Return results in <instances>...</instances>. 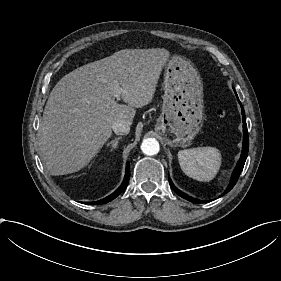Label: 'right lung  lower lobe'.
<instances>
[{"label":"right lung lower lobe","instance_id":"98d812e1","mask_svg":"<svg viewBox=\"0 0 281 281\" xmlns=\"http://www.w3.org/2000/svg\"><path fill=\"white\" fill-rule=\"evenodd\" d=\"M130 179V165L129 162H127L126 164V174H125V178L121 184V186L115 191L113 192L111 195H109L108 197L99 200V201H95V202H84L85 204H91V205H100V204H105L108 203L110 201H112L113 199H115L120 193H122L124 191V189L127 187L128 182Z\"/></svg>","mask_w":281,"mask_h":281}]
</instances>
